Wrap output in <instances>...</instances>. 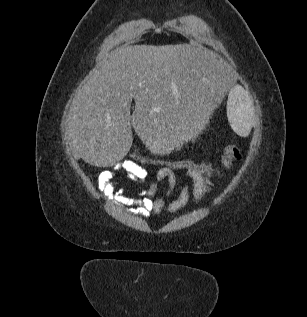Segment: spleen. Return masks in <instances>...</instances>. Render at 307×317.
I'll use <instances>...</instances> for the list:
<instances>
[{
	"instance_id": "spleen-1",
	"label": "spleen",
	"mask_w": 307,
	"mask_h": 317,
	"mask_svg": "<svg viewBox=\"0 0 307 317\" xmlns=\"http://www.w3.org/2000/svg\"><path fill=\"white\" fill-rule=\"evenodd\" d=\"M227 115L234 132L246 137L251 131L254 120L253 107L248 94L241 88L235 87L228 97Z\"/></svg>"
}]
</instances>
